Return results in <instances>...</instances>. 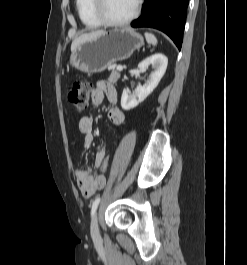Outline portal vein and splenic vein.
Here are the masks:
<instances>
[{
  "label": "portal vein and splenic vein",
  "instance_id": "obj_1",
  "mask_svg": "<svg viewBox=\"0 0 247 265\" xmlns=\"http://www.w3.org/2000/svg\"><path fill=\"white\" fill-rule=\"evenodd\" d=\"M117 70L119 71L123 70V66L122 65L117 66Z\"/></svg>",
  "mask_w": 247,
  "mask_h": 265
}]
</instances>
